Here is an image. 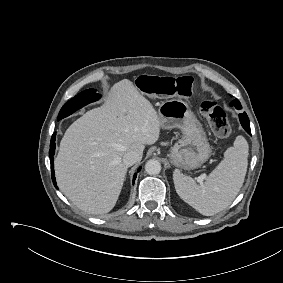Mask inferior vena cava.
I'll return each mask as SVG.
<instances>
[{
    "mask_svg": "<svg viewBox=\"0 0 283 283\" xmlns=\"http://www.w3.org/2000/svg\"><path fill=\"white\" fill-rule=\"evenodd\" d=\"M139 160V155L134 151H129L123 156V163L128 167L132 166Z\"/></svg>",
    "mask_w": 283,
    "mask_h": 283,
    "instance_id": "obj_1",
    "label": "inferior vena cava"
}]
</instances>
